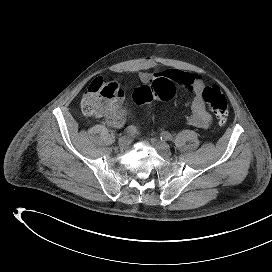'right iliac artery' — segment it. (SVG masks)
Returning <instances> with one entry per match:
<instances>
[{
    "label": "right iliac artery",
    "mask_w": 272,
    "mask_h": 272,
    "mask_svg": "<svg viewBox=\"0 0 272 272\" xmlns=\"http://www.w3.org/2000/svg\"><path fill=\"white\" fill-rule=\"evenodd\" d=\"M136 132V127L134 126H128L125 130H124V135L126 136H131Z\"/></svg>",
    "instance_id": "right-iliac-artery-1"
}]
</instances>
